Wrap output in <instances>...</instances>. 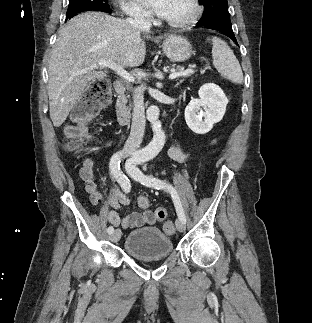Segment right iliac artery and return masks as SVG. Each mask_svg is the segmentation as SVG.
<instances>
[{
	"label": "right iliac artery",
	"mask_w": 312,
	"mask_h": 323,
	"mask_svg": "<svg viewBox=\"0 0 312 323\" xmlns=\"http://www.w3.org/2000/svg\"><path fill=\"white\" fill-rule=\"evenodd\" d=\"M123 155H124L123 152H117L112 156L110 160V169L114 177L120 184L121 188L124 190V192L128 193L130 192V189H131L130 180L126 175H124L120 171V159ZM136 159L138 158H130L127 160L125 165L127 170L136 166V161H135ZM113 231H114V228L112 226H109L107 229V232L111 234Z\"/></svg>",
	"instance_id": "82829eb1"
}]
</instances>
